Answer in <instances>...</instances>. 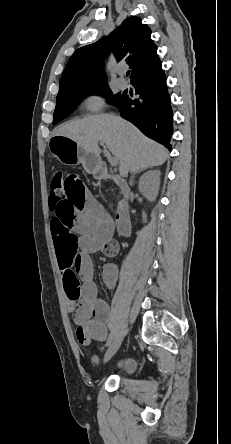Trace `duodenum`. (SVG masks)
<instances>
[{
  "mask_svg": "<svg viewBox=\"0 0 231 444\" xmlns=\"http://www.w3.org/2000/svg\"><path fill=\"white\" fill-rule=\"evenodd\" d=\"M98 174L105 177V178H111L112 176L108 173L107 169L105 166H102L99 170H98ZM116 183L118 184L120 190L122 191V193L126 196L129 195L130 192V188L128 187L127 183L119 178V177H112ZM114 226L116 228V231L118 233V235L120 236H129L130 235V231H131V224H130V218L126 209V205H123L115 218L114 221Z\"/></svg>",
  "mask_w": 231,
  "mask_h": 444,
  "instance_id": "obj_1",
  "label": "duodenum"
}]
</instances>
